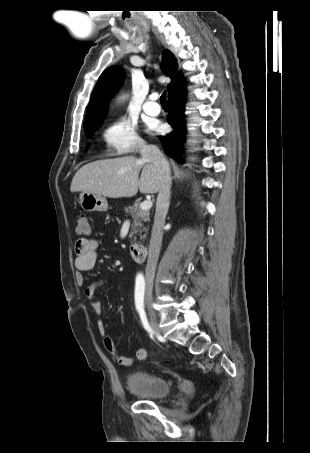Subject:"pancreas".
Segmentation results:
<instances>
[{
    "label": "pancreas",
    "mask_w": 310,
    "mask_h": 453,
    "mask_svg": "<svg viewBox=\"0 0 310 453\" xmlns=\"http://www.w3.org/2000/svg\"><path fill=\"white\" fill-rule=\"evenodd\" d=\"M126 214H130L133 222L129 237L136 240V234L139 233L140 238H146V234L142 235V232H146L148 229L144 226V223L149 222V211L142 210L139 203H135L133 206L125 207Z\"/></svg>",
    "instance_id": "obj_1"
}]
</instances>
